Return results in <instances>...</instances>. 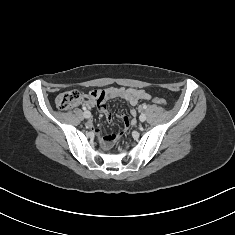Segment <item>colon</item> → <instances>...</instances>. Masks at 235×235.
Listing matches in <instances>:
<instances>
[{"instance_id": "colon-1", "label": "colon", "mask_w": 235, "mask_h": 235, "mask_svg": "<svg viewBox=\"0 0 235 235\" xmlns=\"http://www.w3.org/2000/svg\"><path fill=\"white\" fill-rule=\"evenodd\" d=\"M83 98H84L83 93H81L78 90H71V91L60 93L56 97L55 102L59 109L66 110L79 104L83 100ZM153 101L156 104L161 105V106L166 105L165 99L161 97H154ZM123 121L126 127L130 125V119L127 116L123 117ZM118 137L119 136L116 133L106 135L104 139V145L106 147H110L118 139Z\"/></svg>"}]
</instances>
